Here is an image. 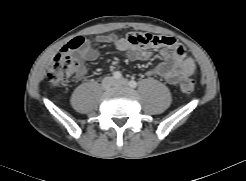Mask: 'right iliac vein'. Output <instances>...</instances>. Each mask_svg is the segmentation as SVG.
Wrapping results in <instances>:
<instances>
[{
  "label": "right iliac vein",
  "mask_w": 246,
  "mask_h": 181,
  "mask_svg": "<svg viewBox=\"0 0 246 181\" xmlns=\"http://www.w3.org/2000/svg\"><path fill=\"white\" fill-rule=\"evenodd\" d=\"M115 86V80L112 77H105L102 81V87L105 90L111 89Z\"/></svg>",
  "instance_id": "right-iliac-vein-1"
}]
</instances>
